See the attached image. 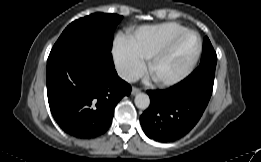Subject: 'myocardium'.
Wrapping results in <instances>:
<instances>
[{
	"instance_id": "obj_1",
	"label": "myocardium",
	"mask_w": 261,
	"mask_h": 162,
	"mask_svg": "<svg viewBox=\"0 0 261 162\" xmlns=\"http://www.w3.org/2000/svg\"><path fill=\"white\" fill-rule=\"evenodd\" d=\"M195 34L198 38V47L193 55V57L191 58V60L189 61V63L186 65V67L181 70L179 73H177L174 76L171 77H166V78H162V77H155L152 75V70L153 67L155 66V64L161 59L163 58L166 54H168L170 52V50L173 48V46L175 45V43L184 35L186 34ZM202 47H203V41L202 38L200 36V34L192 29H185L184 31H181L177 34H175L173 37H171L163 46H161L156 52H154L149 58H148V62H147V73L149 75L152 76L153 80L158 83L159 85L162 86H172L175 85L181 81H183L186 77H188L192 71L194 70L199 57L201 55L202 52Z\"/></svg>"
}]
</instances>
